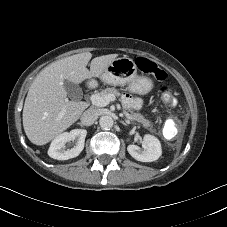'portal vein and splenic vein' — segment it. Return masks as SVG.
<instances>
[{"mask_svg": "<svg viewBox=\"0 0 227 227\" xmlns=\"http://www.w3.org/2000/svg\"><path fill=\"white\" fill-rule=\"evenodd\" d=\"M91 102L92 104H94L95 106L98 107H105L107 106L110 102L115 101L116 97L113 94H108L106 96H100L98 94H92L91 97ZM63 115V112L60 113V117ZM124 115L132 120L130 114L128 112H124Z\"/></svg>", "mask_w": 227, "mask_h": 227, "instance_id": "18ae733b", "label": "portal vein and splenic vein"}]
</instances>
